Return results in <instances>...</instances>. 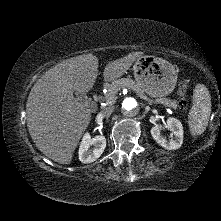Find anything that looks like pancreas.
I'll use <instances>...</instances> for the list:
<instances>
[{
    "instance_id": "pancreas-1",
    "label": "pancreas",
    "mask_w": 221,
    "mask_h": 221,
    "mask_svg": "<svg viewBox=\"0 0 221 221\" xmlns=\"http://www.w3.org/2000/svg\"><path fill=\"white\" fill-rule=\"evenodd\" d=\"M123 87H128V88H131L132 90H135V92L138 95H144V91L135 81L129 78H122L106 86L108 92L105 94V99L109 101L110 103H113L116 99V94L118 90ZM160 100H162L164 105L167 107H171L173 109H176L178 107L177 102L172 101L170 99L161 98Z\"/></svg>"
}]
</instances>
